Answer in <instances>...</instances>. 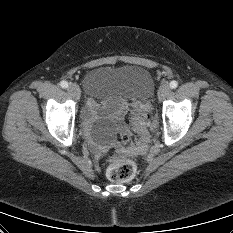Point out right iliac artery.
Masks as SVG:
<instances>
[{"mask_svg":"<svg viewBox=\"0 0 233 233\" xmlns=\"http://www.w3.org/2000/svg\"><path fill=\"white\" fill-rule=\"evenodd\" d=\"M60 86H61L62 88H64V89H66V88L68 87V82L65 81V80H63V81L60 82Z\"/></svg>","mask_w":233,"mask_h":233,"instance_id":"1","label":"right iliac artery"}]
</instances>
